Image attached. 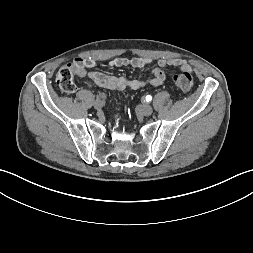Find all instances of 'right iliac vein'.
I'll return each instance as SVG.
<instances>
[{
	"instance_id": "63e3f726",
	"label": "right iliac vein",
	"mask_w": 253,
	"mask_h": 253,
	"mask_svg": "<svg viewBox=\"0 0 253 253\" xmlns=\"http://www.w3.org/2000/svg\"><path fill=\"white\" fill-rule=\"evenodd\" d=\"M93 106L96 110H101V108L103 107V103L101 100H95Z\"/></svg>"
}]
</instances>
